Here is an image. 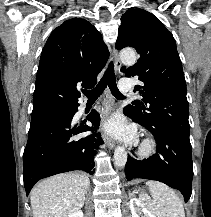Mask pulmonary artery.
<instances>
[{"label": "pulmonary artery", "instance_id": "1", "mask_svg": "<svg viewBox=\"0 0 211 217\" xmlns=\"http://www.w3.org/2000/svg\"><path fill=\"white\" fill-rule=\"evenodd\" d=\"M119 89L122 93H129L132 90V82L130 79L123 78L119 81Z\"/></svg>", "mask_w": 211, "mask_h": 217}]
</instances>
